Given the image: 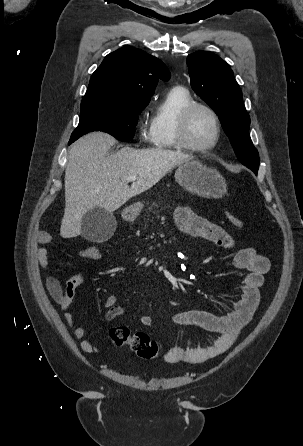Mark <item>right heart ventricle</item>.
Returning <instances> with one entry per match:
<instances>
[{"label": "right heart ventricle", "instance_id": "right-heart-ventricle-1", "mask_svg": "<svg viewBox=\"0 0 303 446\" xmlns=\"http://www.w3.org/2000/svg\"><path fill=\"white\" fill-rule=\"evenodd\" d=\"M189 91L171 88L156 107L150 123L149 139L159 149H179L176 138L177 120L184 108L193 103Z\"/></svg>", "mask_w": 303, "mask_h": 446}]
</instances>
